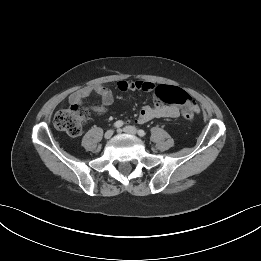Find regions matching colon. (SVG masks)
Listing matches in <instances>:
<instances>
[{
    "label": "colon",
    "instance_id": "obj_1",
    "mask_svg": "<svg viewBox=\"0 0 261 261\" xmlns=\"http://www.w3.org/2000/svg\"><path fill=\"white\" fill-rule=\"evenodd\" d=\"M156 94L165 103L180 105L185 119L191 120L193 118V101L183 89L174 86H160L157 88ZM88 116V110L83 105L70 104L67 108L56 112L53 125L57 130L75 137L80 135L82 124Z\"/></svg>",
    "mask_w": 261,
    "mask_h": 261
}]
</instances>
